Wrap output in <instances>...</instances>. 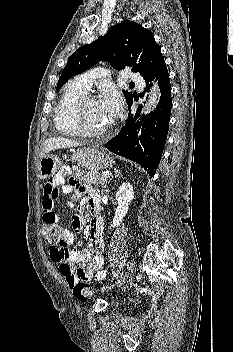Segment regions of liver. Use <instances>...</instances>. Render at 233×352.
I'll return each instance as SVG.
<instances>
[{
  "label": "liver",
  "mask_w": 233,
  "mask_h": 352,
  "mask_svg": "<svg viewBox=\"0 0 233 352\" xmlns=\"http://www.w3.org/2000/svg\"><path fill=\"white\" fill-rule=\"evenodd\" d=\"M81 145V143L73 141L71 139H66L63 137H52L44 142L40 156L42 158L43 156L47 155L50 151H54L56 149L72 148Z\"/></svg>",
  "instance_id": "liver-1"
}]
</instances>
